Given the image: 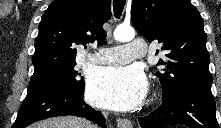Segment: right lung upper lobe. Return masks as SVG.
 <instances>
[{
	"label": "right lung upper lobe",
	"instance_id": "right-lung-upper-lobe-1",
	"mask_svg": "<svg viewBox=\"0 0 221 128\" xmlns=\"http://www.w3.org/2000/svg\"><path fill=\"white\" fill-rule=\"evenodd\" d=\"M111 0H54L39 24L32 57L34 74L76 64V47L103 43Z\"/></svg>",
	"mask_w": 221,
	"mask_h": 128
}]
</instances>
